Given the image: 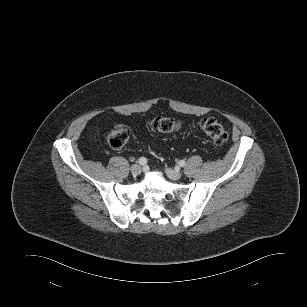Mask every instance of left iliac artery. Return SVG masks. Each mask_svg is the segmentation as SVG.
Listing matches in <instances>:
<instances>
[{
  "instance_id": "left-iliac-artery-1",
  "label": "left iliac artery",
  "mask_w": 307,
  "mask_h": 307,
  "mask_svg": "<svg viewBox=\"0 0 307 307\" xmlns=\"http://www.w3.org/2000/svg\"><path fill=\"white\" fill-rule=\"evenodd\" d=\"M185 164H186V162H185L184 160H180V161H179V165H180L181 167H184Z\"/></svg>"
}]
</instances>
